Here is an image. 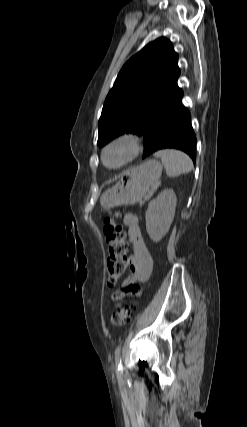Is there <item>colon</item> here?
<instances>
[{
  "label": "colon",
  "mask_w": 247,
  "mask_h": 427,
  "mask_svg": "<svg viewBox=\"0 0 247 427\" xmlns=\"http://www.w3.org/2000/svg\"><path fill=\"white\" fill-rule=\"evenodd\" d=\"M118 213L110 212L104 219L103 232L109 245L107 260L108 284L115 285L127 266L128 246L121 226L116 219ZM132 316V310L127 305L119 304L112 312L110 320L114 326L125 325Z\"/></svg>",
  "instance_id": "1"
}]
</instances>
